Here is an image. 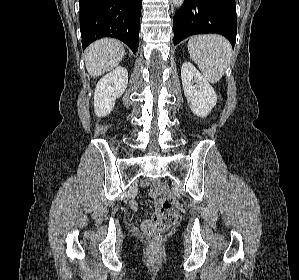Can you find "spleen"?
<instances>
[{
    "instance_id": "1",
    "label": "spleen",
    "mask_w": 299,
    "mask_h": 280,
    "mask_svg": "<svg viewBox=\"0 0 299 280\" xmlns=\"http://www.w3.org/2000/svg\"><path fill=\"white\" fill-rule=\"evenodd\" d=\"M191 59L197 63L204 77L211 83L218 82L232 57L230 43L219 35H199L188 41Z\"/></svg>"
}]
</instances>
